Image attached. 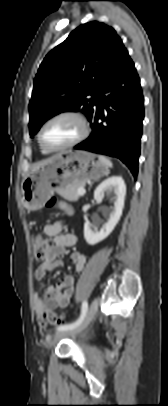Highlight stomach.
Here are the masks:
<instances>
[{"instance_id": "stomach-1", "label": "stomach", "mask_w": 168, "mask_h": 406, "mask_svg": "<svg viewBox=\"0 0 168 406\" xmlns=\"http://www.w3.org/2000/svg\"><path fill=\"white\" fill-rule=\"evenodd\" d=\"M109 173L100 156L87 151H65L54 160L32 171L21 184L22 205L32 211L42 208L55 191L88 180H98Z\"/></svg>"}]
</instances>
